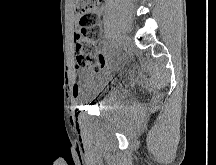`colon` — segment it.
<instances>
[{
    "mask_svg": "<svg viewBox=\"0 0 216 165\" xmlns=\"http://www.w3.org/2000/svg\"><path fill=\"white\" fill-rule=\"evenodd\" d=\"M102 3L103 0H74L75 10L79 14L75 32L76 66L92 73L99 72L105 62L95 47L101 33L96 10Z\"/></svg>",
    "mask_w": 216,
    "mask_h": 165,
    "instance_id": "obj_1",
    "label": "colon"
}]
</instances>
